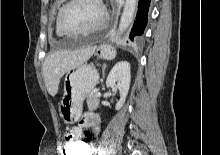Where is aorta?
I'll use <instances>...</instances> for the list:
<instances>
[{
	"label": "aorta",
	"mask_w": 220,
	"mask_h": 155,
	"mask_svg": "<svg viewBox=\"0 0 220 155\" xmlns=\"http://www.w3.org/2000/svg\"><path fill=\"white\" fill-rule=\"evenodd\" d=\"M138 0H125L123 12L119 23V32L123 33L132 23Z\"/></svg>",
	"instance_id": "1"
}]
</instances>
